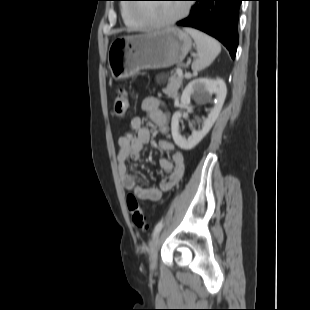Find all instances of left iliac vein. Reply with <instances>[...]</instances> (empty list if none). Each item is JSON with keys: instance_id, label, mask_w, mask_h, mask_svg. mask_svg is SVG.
<instances>
[{"instance_id": "left-iliac-vein-1", "label": "left iliac vein", "mask_w": 310, "mask_h": 310, "mask_svg": "<svg viewBox=\"0 0 310 310\" xmlns=\"http://www.w3.org/2000/svg\"><path fill=\"white\" fill-rule=\"evenodd\" d=\"M162 236L163 234L160 232L156 234L149 245V261L151 270H155L157 268L158 250L162 241Z\"/></svg>"}]
</instances>
